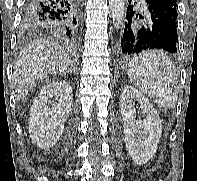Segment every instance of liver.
<instances>
[{"instance_id":"1","label":"liver","mask_w":197,"mask_h":181,"mask_svg":"<svg viewBox=\"0 0 197 181\" xmlns=\"http://www.w3.org/2000/svg\"><path fill=\"white\" fill-rule=\"evenodd\" d=\"M74 65L63 47L51 40H37L19 54L13 73L17 100L26 98L36 81L47 75L73 71Z\"/></svg>"}]
</instances>
